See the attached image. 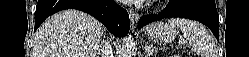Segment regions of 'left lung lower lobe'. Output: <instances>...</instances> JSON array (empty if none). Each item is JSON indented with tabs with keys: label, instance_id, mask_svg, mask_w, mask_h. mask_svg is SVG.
Returning a JSON list of instances; mask_svg holds the SVG:
<instances>
[{
	"label": "left lung lower lobe",
	"instance_id": "1",
	"mask_svg": "<svg viewBox=\"0 0 249 57\" xmlns=\"http://www.w3.org/2000/svg\"><path fill=\"white\" fill-rule=\"evenodd\" d=\"M169 17L197 20L208 26L219 40V18L215 0H170L160 13L142 16L138 22V29L151 22Z\"/></svg>",
	"mask_w": 249,
	"mask_h": 57
}]
</instances>
